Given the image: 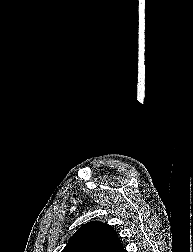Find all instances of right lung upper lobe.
<instances>
[{
	"mask_svg": "<svg viewBox=\"0 0 193 252\" xmlns=\"http://www.w3.org/2000/svg\"><path fill=\"white\" fill-rule=\"evenodd\" d=\"M62 252H125L116 230L107 223L84 224L69 240Z\"/></svg>",
	"mask_w": 193,
	"mask_h": 252,
	"instance_id": "1",
	"label": "right lung upper lobe"
}]
</instances>
